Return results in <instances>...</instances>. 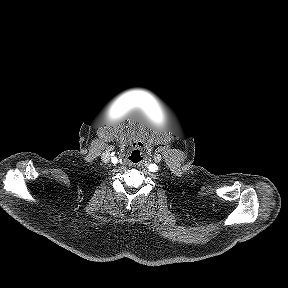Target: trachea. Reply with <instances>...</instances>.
I'll use <instances>...</instances> for the list:
<instances>
[{"instance_id":"obj_1","label":"trachea","mask_w":288,"mask_h":288,"mask_svg":"<svg viewBox=\"0 0 288 288\" xmlns=\"http://www.w3.org/2000/svg\"><path fill=\"white\" fill-rule=\"evenodd\" d=\"M144 159V152L141 147L132 149L128 155V160L132 164L141 163Z\"/></svg>"}]
</instances>
